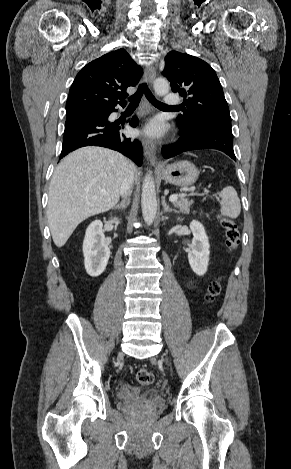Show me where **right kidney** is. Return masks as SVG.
Here are the masks:
<instances>
[{
	"mask_svg": "<svg viewBox=\"0 0 291 469\" xmlns=\"http://www.w3.org/2000/svg\"><path fill=\"white\" fill-rule=\"evenodd\" d=\"M113 222L118 223V219L114 218ZM102 227L100 220L93 221L88 226L83 241L85 270L91 277H98L104 272L110 257V248L105 241Z\"/></svg>",
	"mask_w": 291,
	"mask_h": 469,
	"instance_id": "1",
	"label": "right kidney"
}]
</instances>
